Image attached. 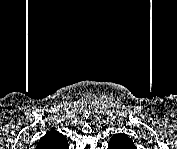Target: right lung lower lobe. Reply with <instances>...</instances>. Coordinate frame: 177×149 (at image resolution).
<instances>
[{"label": "right lung lower lobe", "mask_w": 177, "mask_h": 149, "mask_svg": "<svg viewBox=\"0 0 177 149\" xmlns=\"http://www.w3.org/2000/svg\"><path fill=\"white\" fill-rule=\"evenodd\" d=\"M55 136L56 135H51V134H47V135H45V136H43L41 139H40V141H39V143H38V146L39 147H46V146H48L49 144H51V142L52 141H54L55 140ZM62 146V148H64V149H67L68 147H69V145H68V143L67 142H65L63 145H61Z\"/></svg>", "instance_id": "obj_1"}]
</instances>
